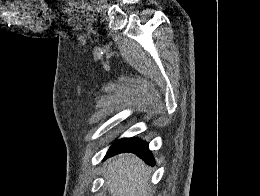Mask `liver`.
Here are the masks:
<instances>
[{"mask_svg":"<svg viewBox=\"0 0 260 196\" xmlns=\"http://www.w3.org/2000/svg\"><path fill=\"white\" fill-rule=\"evenodd\" d=\"M150 172L151 168L134 154H120L108 160L103 176L110 196H148Z\"/></svg>","mask_w":260,"mask_h":196,"instance_id":"liver-1","label":"liver"}]
</instances>
